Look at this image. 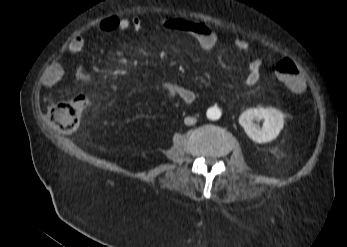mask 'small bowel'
Returning a JSON list of instances; mask_svg holds the SVG:
<instances>
[{
  "label": "small bowel",
  "instance_id": "1",
  "mask_svg": "<svg viewBox=\"0 0 347 247\" xmlns=\"http://www.w3.org/2000/svg\"><path fill=\"white\" fill-rule=\"evenodd\" d=\"M143 27V22L139 18H118L116 16L106 18L100 25L99 31L104 34H110L116 31L123 32L127 30L139 31ZM168 29L175 32H185L191 35L205 51L213 50L218 44V36L216 32L203 21L176 19L168 21ZM233 47L242 54L247 53L249 50L248 42L243 38H236L232 43ZM85 41L82 36L73 37L68 43L67 49L71 53H79L83 50ZM250 69L245 78V83L248 86H253L259 81V71L262 62L258 59H253L249 63ZM64 75L63 65L56 61L53 62L46 71L43 78V85L46 88H53L61 81ZM79 82H87V75L85 73L77 74ZM161 88L169 95L180 99L185 104H191L196 99V94L190 88L183 85L171 82L161 83ZM305 87L298 93L303 92ZM82 94V93H81ZM80 94H78L79 96ZM77 96V98H78Z\"/></svg>",
  "mask_w": 347,
  "mask_h": 247
}]
</instances>
